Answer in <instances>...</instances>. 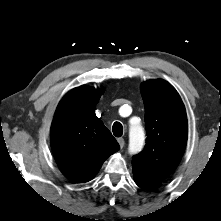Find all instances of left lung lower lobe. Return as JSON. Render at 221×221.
I'll list each match as a JSON object with an SVG mask.
<instances>
[{
  "label": "left lung lower lobe",
  "instance_id": "0a47b994",
  "mask_svg": "<svg viewBox=\"0 0 221 221\" xmlns=\"http://www.w3.org/2000/svg\"><path fill=\"white\" fill-rule=\"evenodd\" d=\"M133 175L136 184L146 190L155 189L161 184L160 181H157L145 175L144 172L137 167H133Z\"/></svg>",
  "mask_w": 221,
  "mask_h": 221
}]
</instances>
